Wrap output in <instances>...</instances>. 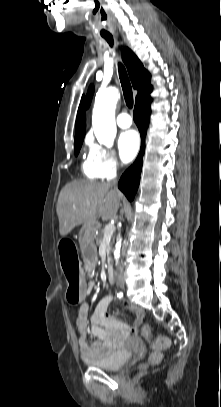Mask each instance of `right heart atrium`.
<instances>
[{
  "mask_svg": "<svg viewBox=\"0 0 221 407\" xmlns=\"http://www.w3.org/2000/svg\"><path fill=\"white\" fill-rule=\"evenodd\" d=\"M88 158L93 170L100 178L114 176L120 167L113 151L93 142L89 144Z\"/></svg>",
  "mask_w": 221,
  "mask_h": 407,
  "instance_id": "1",
  "label": "right heart atrium"
}]
</instances>
